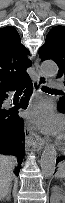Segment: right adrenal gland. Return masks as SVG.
Wrapping results in <instances>:
<instances>
[{
    "instance_id": "right-adrenal-gland-1",
    "label": "right adrenal gland",
    "mask_w": 65,
    "mask_h": 203,
    "mask_svg": "<svg viewBox=\"0 0 65 203\" xmlns=\"http://www.w3.org/2000/svg\"><path fill=\"white\" fill-rule=\"evenodd\" d=\"M3 201H10L11 200V191H9L8 195L5 197V199H2Z\"/></svg>"
}]
</instances>
